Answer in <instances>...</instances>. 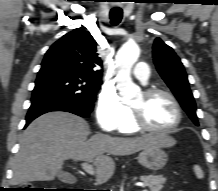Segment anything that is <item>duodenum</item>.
<instances>
[{
    "instance_id": "410a0bca",
    "label": "duodenum",
    "mask_w": 218,
    "mask_h": 191,
    "mask_svg": "<svg viewBox=\"0 0 218 191\" xmlns=\"http://www.w3.org/2000/svg\"><path fill=\"white\" fill-rule=\"evenodd\" d=\"M71 191H81V190H79V188H75V189H73Z\"/></svg>"
}]
</instances>
